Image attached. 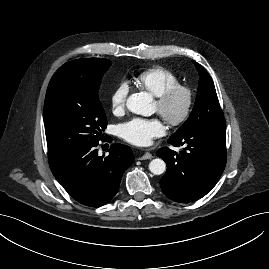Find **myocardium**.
Returning <instances> with one entry per match:
<instances>
[{
  "instance_id": "obj_1",
  "label": "myocardium",
  "mask_w": 269,
  "mask_h": 269,
  "mask_svg": "<svg viewBox=\"0 0 269 269\" xmlns=\"http://www.w3.org/2000/svg\"><path fill=\"white\" fill-rule=\"evenodd\" d=\"M178 94H182L184 96V105L178 114L172 115L168 113L167 107L172 99ZM155 102L159 106L158 113L162 116L166 123L170 126L176 127L185 123L189 118L193 107L194 93L189 86L177 84L155 96Z\"/></svg>"
}]
</instances>
